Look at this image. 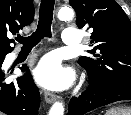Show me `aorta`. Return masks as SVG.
Instances as JSON below:
<instances>
[{"label": "aorta", "instance_id": "1", "mask_svg": "<svg viewBox=\"0 0 131 115\" xmlns=\"http://www.w3.org/2000/svg\"><path fill=\"white\" fill-rule=\"evenodd\" d=\"M74 16L73 10L69 7H62L58 11V18L62 21L71 20ZM49 115H64L63 103L57 101L50 108Z\"/></svg>", "mask_w": 131, "mask_h": 115}]
</instances>
